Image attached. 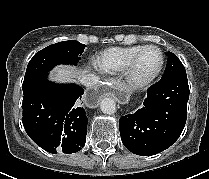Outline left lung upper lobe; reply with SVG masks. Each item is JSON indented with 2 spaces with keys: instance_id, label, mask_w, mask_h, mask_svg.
Here are the masks:
<instances>
[{
  "instance_id": "1",
  "label": "left lung upper lobe",
  "mask_w": 209,
  "mask_h": 179,
  "mask_svg": "<svg viewBox=\"0 0 209 179\" xmlns=\"http://www.w3.org/2000/svg\"><path fill=\"white\" fill-rule=\"evenodd\" d=\"M183 74H186V71L181 61L172 52H168L167 66L161 80H166Z\"/></svg>"
}]
</instances>
